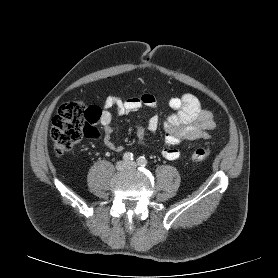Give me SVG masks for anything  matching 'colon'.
Returning <instances> with one entry per match:
<instances>
[{
	"label": "colon",
	"instance_id": "colon-1",
	"mask_svg": "<svg viewBox=\"0 0 278 278\" xmlns=\"http://www.w3.org/2000/svg\"><path fill=\"white\" fill-rule=\"evenodd\" d=\"M102 111L94 105H85L75 101L63 104L52 120L50 137L53 149L58 157L71 151L83 138H96L99 132L96 124L101 119ZM210 156L206 147H198L191 153L195 162L205 161Z\"/></svg>",
	"mask_w": 278,
	"mask_h": 278
}]
</instances>
